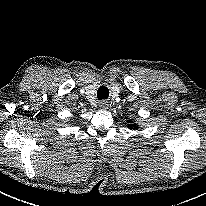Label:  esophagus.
I'll list each match as a JSON object with an SVG mask.
<instances>
[{
	"mask_svg": "<svg viewBox=\"0 0 206 206\" xmlns=\"http://www.w3.org/2000/svg\"><path fill=\"white\" fill-rule=\"evenodd\" d=\"M108 105H109L108 102L102 101V102H100L99 107L103 110H106V109H108Z\"/></svg>",
	"mask_w": 206,
	"mask_h": 206,
	"instance_id": "1",
	"label": "esophagus"
}]
</instances>
